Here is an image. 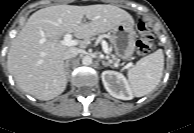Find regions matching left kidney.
Listing matches in <instances>:
<instances>
[{"instance_id":"obj_1","label":"left kidney","mask_w":194,"mask_h":133,"mask_svg":"<svg viewBox=\"0 0 194 133\" xmlns=\"http://www.w3.org/2000/svg\"><path fill=\"white\" fill-rule=\"evenodd\" d=\"M102 82L107 92L115 98L131 100L132 90L123 74L107 70L102 72Z\"/></svg>"}]
</instances>
